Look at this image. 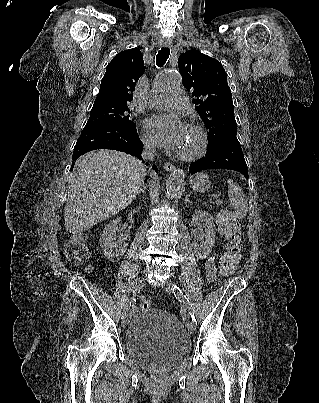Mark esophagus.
<instances>
[{
	"label": "esophagus",
	"mask_w": 319,
	"mask_h": 403,
	"mask_svg": "<svg viewBox=\"0 0 319 403\" xmlns=\"http://www.w3.org/2000/svg\"><path fill=\"white\" fill-rule=\"evenodd\" d=\"M163 46L167 47V48H171L172 47V41H170V40L165 41L163 43ZM164 169L166 171H173L175 169V166L172 163L166 162V163H164Z\"/></svg>",
	"instance_id": "esophagus-1"
}]
</instances>
